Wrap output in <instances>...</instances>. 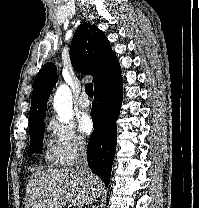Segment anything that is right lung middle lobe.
I'll list each match as a JSON object with an SVG mask.
<instances>
[{
	"label": "right lung middle lobe",
	"mask_w": 199,
	"mask_h": 208,
	"mask_svg": "<svg viewBox=\"0 0 199 208\" xmlns=\"http://www.w3.org/2000/svg\"><path fill=\"white\" fill-rule=\"evenodd\" d=\"M45 124L30 130V153H40L42 150Z\"/></svg>",
	"instance_id": "dd1d6c3e"
}]
</instances>
